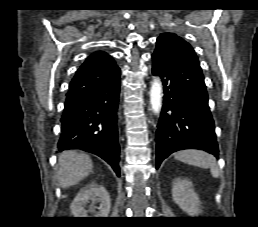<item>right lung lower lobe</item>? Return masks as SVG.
Returning a JSON list of instances; mask_svg holds the SVG:
<instances>
[{
  "label": "right lung lower lobe",
  "instance_id": "1",
  "mask_svg": "<svg viewBox=\"0 0 258 227\" xmlns=\"http://www.w3.org/2000/svg\"><path fill=\"white\" fill-rule=\"evenodd\" d=\"M120 69L111 56L88 59L73 77L61 118L59 151L81 149L119 171L117 109Z\"/></svg>",
  "mask_w": 258,
  "mask_h": 227
}]
</instances>
